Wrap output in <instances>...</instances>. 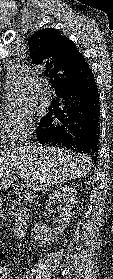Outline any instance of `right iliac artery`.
Segmentation results:
<instances>
[{
    "mask_svg": "<svg viewBox=\"0 0 113 279\" xmlns=\"http://www.w3.org/2000/svg\"><path fill=\"white\" fill-rule=\"evenodd\" d=\"M28 278H30V277L26 276V279H28Z\"/></svg>",
    "mask_w": 113,
    "mask_h": 279,
    "instance_id": "right-iliac-artery-1",
    "label": "right iliac artery"
}]
</instances>
